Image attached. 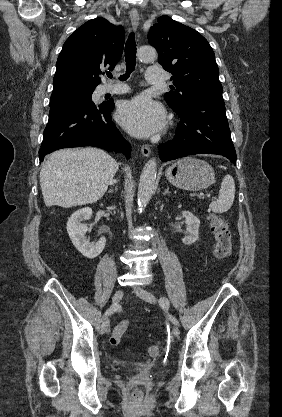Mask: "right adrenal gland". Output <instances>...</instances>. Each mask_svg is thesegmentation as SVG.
Masks as SVG:
<instances>
[{
    "instance_id": "2a0ac1e0",
    "label": "right adrenal gland",
    "mask_w": 282,
    "mask_h": 417,
    "mask_svg": "<svg viewBox=\"0 0 282 417\" xmlns=\"http://www.w3.org/2000/svg\"><path fill=\"white\" fill-rule=\"evenodd\" d=\"M110 184H113V186H115L116 182H114V180H112V182H110ZM117 190V186H115L114 190H112V188H110V190H108V192H116Z\"/></svg>"
}]
</instances>
